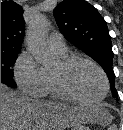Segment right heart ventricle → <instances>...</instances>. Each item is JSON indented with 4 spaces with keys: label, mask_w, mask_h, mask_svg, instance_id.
Segmentation results:
<instances>
[{
    "label": "right heart ventricle",
    "mask_w": 123,
    "mask_h": 130,
    "mask_svg": "<svg viewBox=\"0 0 123 130\" xmlns=\"http://www.w3.org/2000/svg\"><path fill=\"white\" fill-rule=\"evenodd\" d=\"M60 58H65L67 57L68 54V50H64V51H58V50H53ZM44 74H45V90H44V94L43 95H47L51 98L54 99H59V100H63L65 99L60 92L58 91V89L56 88V85L54 83L53 80V76H52V71L49 70H44Z\"/></svg>",
    "instance_id": "obj_1"
}]
</instances>
